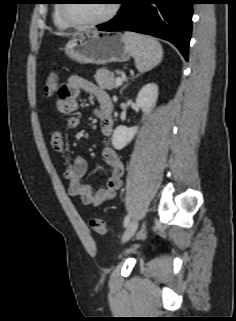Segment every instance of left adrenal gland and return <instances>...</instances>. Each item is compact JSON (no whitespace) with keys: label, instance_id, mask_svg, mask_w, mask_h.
I'll use <instances>...</instances> for the list:
<instances>
[{"label":"left adrenal gland","instance_id":"1","mask_svg":"<svg viewBox=\"0 0 236 321\" xmlns=\"http://www.w3.org/2000/svg\"><path fill=\"white\" fill-rule=\"evenodd\" d=\"M127 85H125V86H123L122 88H121V90H120V93L122 94V92H123V90L125 89V87H126Z\"/></svg>","mask_w":236,"mask_h":321}]
</instances>
